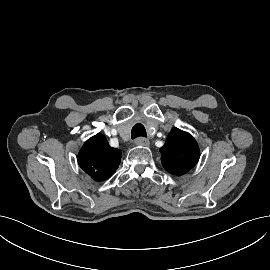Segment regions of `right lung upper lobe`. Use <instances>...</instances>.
I'll return each mask as SVG.
<instances>
[{
    "mask_svg": "<svg viewBox=\"0 0 270 270\" xmlns=\"http://www.w3.org/2000/svg\"><path fill=\"white\" fill-rule=\"evenodd\" d=\"M121 151L110 147L102 134L88 139L78 154L80 167L96 181L108 179L118 168Z\"/></svg>",
    "mask_w": 270,
    "mask_h": 270,
    "instance_id": "right-lung-upper-lobe-1",
    "label": "right lung upper lobe"
}]
</instances>
